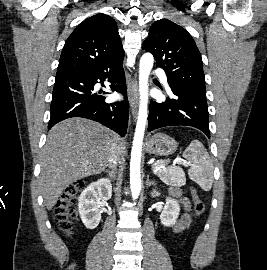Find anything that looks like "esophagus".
Masks as SVG:
<instances>
[{
	"label": "esophagus",
	"instance_id": "obj_1",
	"mask_svg": "<svg viewBox=\"0 0 267 270\" xmlns=\"http://www.w3.org/2000/svg\"><path fill=\"white\" fill-rule=\"evenodd\" d=\"M128 99L131 107L132 116L135 120L138 110V85L136 80H133L128 85Z\"/></svg>",
	"mask_w": 267,
	"mask_h": 270
}]
</instances>
